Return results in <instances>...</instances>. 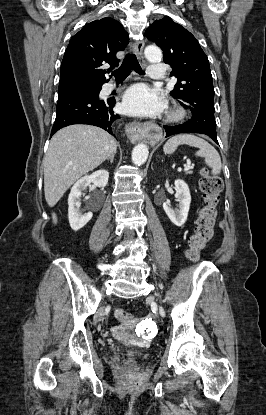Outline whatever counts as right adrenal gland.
I'll return each mask as SVG.
<instances>
[{
    "label": "right adrenal gland",
    "mask_w": 266,
    "mask_h": 415,
    "mask_svg": "<svg viewBox=\"0 0 266 415\" xmlns=\"http://www.w3.org/2000/svg\"><path fill=\"white\" fill-rule=\"evenodd\" d=\"M114 156H115V154H113L112 156H110V157L107 159V161H109V160H110V163L112 164V163H113V160H114Z\"/></svg>",
    "instance_id": "2a0ac1e0"
}]
</instances>
